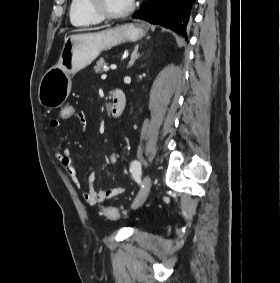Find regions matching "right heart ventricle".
<instances>
[{
  "label": "right heart ventricle",
  "instance_id": "e07e8e85",
  "mask_svg": "<svg viewBox=\"0 0 280 283\" xmlns=\"http://www.w3.org/2000/svg\"><path fill=\"white\" fill-rule=\"evenodd\" d=\"M69 16L71 23L77 27L90 26L102 21V19L91 10L88 0H71Z\"/></svg>",
  "mask_w": 280,
  "mask_h": 283
}]
</instances>
